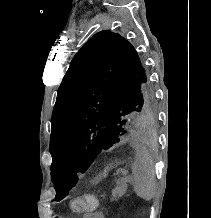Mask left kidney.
Masks as SVG:
<instances>
[{
  "mask_svg": "<svg viewBox=\"0 0 211 218\" xmlns=\"http://www.w3.org/2000/svg\"><path fill=\"white\" fill-rule=\"evenodd\" d=\"M120 212H125V207H120Z\"/></svg>",
  "mask_w": 211,
  "mask_h": 218,
  "instance_id": "obj_1",
  "label": "left kidney"
}]
</instances>
